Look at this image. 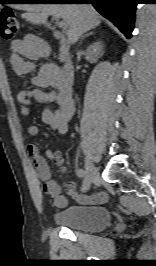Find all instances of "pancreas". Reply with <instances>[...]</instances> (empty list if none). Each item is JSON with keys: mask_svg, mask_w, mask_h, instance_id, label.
I'll use <instances>...</instances> for the list:
<instances>
[{"mask_svg": "<svg viewBox=\"0 0 156 266\" xmlns=\"http://www.w3.org/2000/svg\"><path fill=\"white\" fill-rule=\"evenodd\" d=\"M69 58L67 56L61 55L60 56V61L61 62H65L66 60H68Z\"/></svg>", "mask_w": 156, "mask_h": 266, "instance_id": "obj_1", "label": "pancreas"}]
</instances>
